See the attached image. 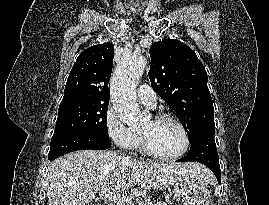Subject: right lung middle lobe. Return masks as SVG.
Returning <instances> with one entry per match:
<instances>
[{
	"instance_id": "dd1d6c3e",
	"label": "right lung middle lobe",
	"mask_w": 269,
	"mask_h": 205,
	"mask_svg": "<svg viewBox=\"0 0 269 205\" xmlns=\"http://www.w3.org/2000/svg\"><path fill=\"white\" fill-rule=\"evenodd\" d=\"M109 103H78L59 106L55 133L77 131L109 138L107 109Z\"/></svg>"
}]
</instances>
